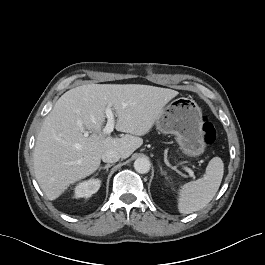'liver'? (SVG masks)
<instances>
[{"mask_svg": "<svg viewBox=\"0 0 265 265\" xmlns=\"http://www.w3.org/2000/svg\"><path fill=\"white\" fill-rule=\"evenodd\" d=\"M179 93L140 84H87L64 93L45 117L37 136L33 166L49 200L93 174L107 150L128 158L143 144L165 105ZM117 116L120 138L103 133L105 110Z\"/></svg>", "mask_w": 265, "mask_h": 265, "instance_id": "6515ba94", "label": "liver"}]
</instances>
